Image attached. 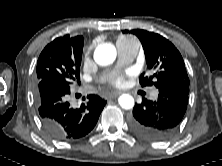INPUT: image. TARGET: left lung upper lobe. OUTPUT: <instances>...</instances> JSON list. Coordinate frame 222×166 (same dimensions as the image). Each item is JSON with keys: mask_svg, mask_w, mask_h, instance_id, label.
Returning a JSON list of instances; mask_svg holds the SVG:
<instances>
[{"mask_svg": "<svg viewBox=\"0 0 222 166\" xmlns=\"http://www.w3.org/2000/svg\"><path fill=\"white\" fill-rule=\"evenodd\" d=\"M127 32V31H125ZM141 41L146 63L155 71L153 76H140V85H155L157 88L166 83H180L189 86L183 58L176 47L159 34L141 29L132 30Z\"/></svg>", "mask_w": 222, "mask_h": 166, "instance_id": "1", "label": "left lung upper lobe"}]
</instances>
